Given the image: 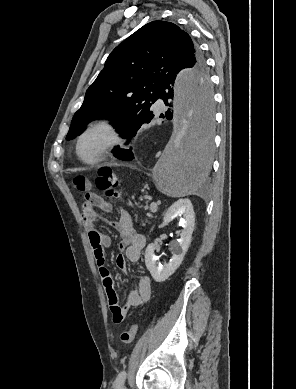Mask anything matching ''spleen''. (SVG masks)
<instances>
[{
    "label": "spleen",
    "instance_id": "3e777b00",
    "mask_svg": "<svg viewBox=\"0 0 296 389\" xmlns=\"http://www.w3.org/2000/svg\"><path fill=\"white\" fill-rule=\"evenodd\" d=\"M192 180L195 181L197 179L192 178ZM194 187H195V183L193 182V187L192 188L194 189Z\"/></svg>",
    "mask_w": 296,
    "mask_h": 389
}]
</instances>
